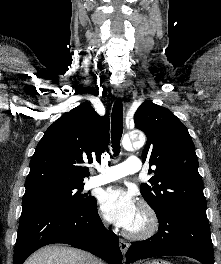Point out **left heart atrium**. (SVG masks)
I'll return each instance as SVG.
<instances>
[{
    "mask_svg": "<svg viewBox=\"0 0 221 264\" xmlns=\"http://www.w3.org/2000/svg\"><path fill=\"white\" fill-rule=\"evenodd\" d=\"M99 205L105 218L125 229H129L139 212L133 195L121 188H110L99 197Z\"/></svg>",
    "mask_w": 221,
    "mask_h": 264,
    "instance_id": "1",
    "label": "left heart atrium"
}]
</instances>
